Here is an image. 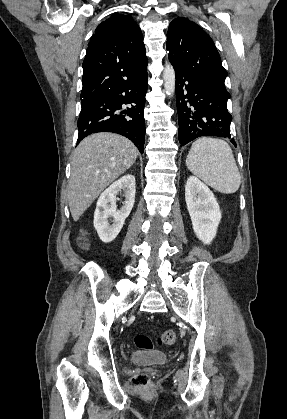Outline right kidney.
Returning <instances> with one entry per match:
<instances>
[{"instance_id":"right-kidney-1","label":"right kidney","mask_w":287,"mask_h":419,"mask_svg":"<svg viewBox=\"0 0 287 419\" xmlns=\"http://www.w3.org/2000/svg\"><path fill=\"white\" fill-rule=\"evenodd\" d=\"M124 191L125 201L120 210L116 208L119 192ZM135 177L127 174L111 184L99 197L94 212V227L100 239L109 243L120 233L125 219L135 202ZM112 218V220H111ZM109 220L112 224L110 225Z\"/></svg>"}]
</instances>
